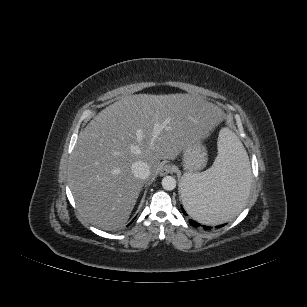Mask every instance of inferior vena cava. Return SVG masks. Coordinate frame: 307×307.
<instances>
[{
  "mask_svg": "<svg viewBox=\"0 0 307 307\" xmlns=\"http://www.w3.org/2000/svg\"><path fill=\"white\" fill-rule=\"evenodd\" d=\"M133 175L139 179H146L150 175V167L144 161H136L131 166Z\"/></svg>",
  "mask_w": 307,
  "mask_h": 307,
  "instance_id": "1",
  "label": "inferior vena cava"
}]
</instances>
